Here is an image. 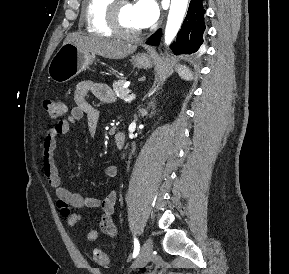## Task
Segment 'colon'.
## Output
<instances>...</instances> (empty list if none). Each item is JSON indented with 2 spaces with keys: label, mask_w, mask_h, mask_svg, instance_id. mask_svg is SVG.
<instances>
[{
  "label": "colon",
  "mask_w": 289,
  "mask_h": 274,
  "mask_svg": "<svg viewBox=\"0 0 289 274\" xmlns=\"http://www.w3.org/2000/svg\"><path fill=\"white\" fill-rule=\"evenodd\" d=\"M43 107L48 113V115L53 119L62 117L66 112V105L60 100H44ZM93 260L100 267H107L108 265V257L102 250H94Z\"/></svg>",
  "instance_id": "obj_1"
}]
</instances>
